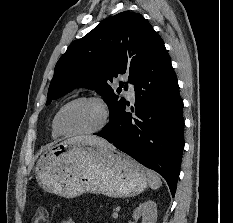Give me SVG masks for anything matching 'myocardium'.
I'll return each instance as SVG.
<instances>
[{"instance_id": "1", "label": "myocardium", "mask_w": 233, "mask_h": 223, "mask_svg": "<svg viewBox=\"0 0 233 223\" xmlns=\"http://www.w3.org/2000/svg\"><path fill=\"white\" fill-rule=\"evenodd\" d=\"M80 101H90V102H94L96 104H98L102 110L103 113V123L101 124L100 127H98L97 129L93 130V131H89V132H80V133H70L65 131L62 127H61V116L63 114V112L72 104L76 103V102H80ZM110 123V112L108 109L107 104L105 103V101L98 96H92V95H85V96H79L76 97L70 101H68L67 103H65L56 113L54 120H53V127L55 129V131L62 136H67V137H88V136H92V135H96L101 133L103 130H105L107 128V126Z\"/></svg>"}]
</instances>
